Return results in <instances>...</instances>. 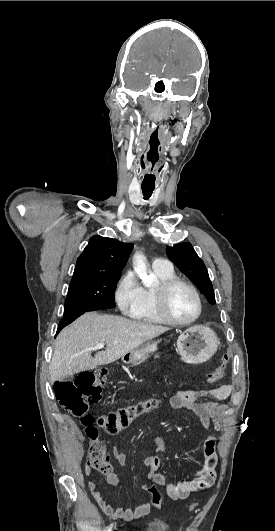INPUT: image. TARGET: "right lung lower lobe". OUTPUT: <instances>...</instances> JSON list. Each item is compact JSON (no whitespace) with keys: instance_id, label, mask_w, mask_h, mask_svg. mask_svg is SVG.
<instances>
[{"instance_id":"1","label":"right lung lower lobe","mask_w":275,"mask_h":531,"mask_svg":"<svg viewBox=\"0 0 275 531\" xmlns=\"http://www.w3.org/2000/svg\"><path fill=\"white\" fill-rule=\"evenodd\" d=\"M84 313H75L71 316H67V317H63L61 319V321L59 322V326H58V329H57V333L56 335L68 324H70L71 322H73L76 318H78L80 315H82Z\"/></svg>"}]
</instances>
